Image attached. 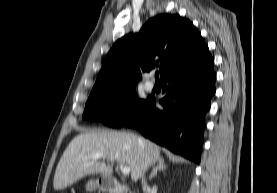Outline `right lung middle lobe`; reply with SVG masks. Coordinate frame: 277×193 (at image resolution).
Returning a JSON list of instances; mask_svg holds the SVG:
<instances>
[{
    "label": "right lung middle lobe",
    "instance_id": "right-lung-middle-lobe-1",
    "mask_svg": "<svg viewBox=\"0 0 277 193\" xmlns=\"http://www.w3.org/2000/svg\"><path fill=\"white\" fill-rule=\"evenodd\" d=\"M147 100H138L135 86L90 94L82 118L100 120L107 126L119 128L134 116Z\"/></svg>",
    "mask_w": 277,
    "mask_h": 193
}]
</instances>
